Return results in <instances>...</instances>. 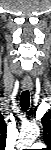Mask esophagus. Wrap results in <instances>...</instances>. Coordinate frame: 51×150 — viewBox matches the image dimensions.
Segmentation results:
<instances>
[{
	"label": "esophagus",
	"mask_w": 51,
	"mask_h": 150,
	"mask_svg": "<svg viewBox=\"0 0 51 150\" xmlns=\"http://www.w3.org/2000/svg\"><path fill=\"white\" fill-rule=\"evenodd\" d=\"M23 89L32 90V81L31 80H24L23 81Z\"/></svg>",
	"instance_id": "esophagus-1"
}]
</instances>
